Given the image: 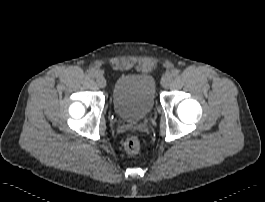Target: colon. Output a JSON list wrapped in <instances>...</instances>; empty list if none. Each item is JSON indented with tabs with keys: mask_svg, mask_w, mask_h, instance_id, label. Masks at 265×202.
<instances>
[{
	"mask_svg": "<svg viewBox=\"0 0 265 202\" xmlns=\"http://www.w3.org/2000/svg\"><path fill=\"white\" fill-rule=\"evenodd\" d=\"M124 149L128 154L135 155L141 149V141L137 135H130L124 140Z\"/></svg>",
	"mask_w": 265,
	"mask_h": 202,
	"instance_id": "1",
	"label": "colon"
}]
</instances>
